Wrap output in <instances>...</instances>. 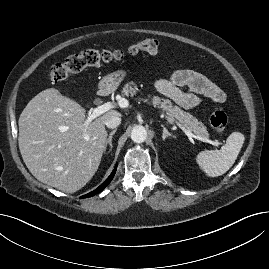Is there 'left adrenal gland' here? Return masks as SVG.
<instances>
[{"mask_svg":"<svg viewBox=\"0 0 269 269\" xmlns=\"http://www.w3.org/2000/svg\"><path fill=\"white\" fill-rule=\"evenodd\" d=\"M161 127L163 128V134H162V138H163V140H165L167 137H173V138H175V136L172 135V134L167 130V128H166L164 125H161Z\"/></svg>","mask_w":269,"mask_h":269,"instance_id":"left-adrenal-gland-1","label":"left adrenal gland"}]
</instances>
